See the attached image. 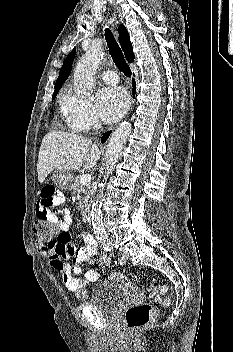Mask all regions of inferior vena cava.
<instances>
[{
	"label": "inferior vena cava",
	"instance_id": "inferior-vena-cava-1",
	"mask_svg": "<svg viewBox=\"0 0 233 352\" xmlns=\"http://www.w3.org/2000/svg\"><path fill=\"white\" fill-rule=\"evenodd\" d=\"M101 128V123L99 122V120H95L94 121V129L98 130Z\"/></svg>",
	"mask_w": 233,
	"mask_h": 352
}]
</instances>
